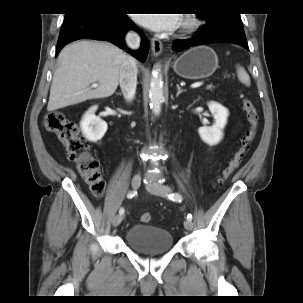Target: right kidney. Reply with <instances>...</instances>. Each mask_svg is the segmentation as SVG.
<instances>
[{
	"label": "right kidney",
	"instance_id": "right-kidney-1",
	"mask_svg": "<svg viewBox=\"0 0 303 303\" xmlns=\"http://www.w3.org/2000/svg\"><path fill=\"white\" fill-rule=\"evenodd\" d=\"M97 106L91 107L83 116L80 128L83 135L91 142H97L105 135L108 125L95 115Z\"/></svg>",
	"mask_w": 303,
	"mask_h": 303
}]
</instances>
